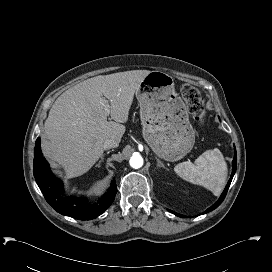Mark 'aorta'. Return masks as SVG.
<instances>
[{
	"label": "aorta",
	"instance_id": "762f6f07",
	"mask_svg": "<svg viewBox=\"0 0 272 272\" xmlns=\"http://www.w3.org/2000/svg\"><path fill=\"white\" fill-rule=\"evenodd\" d=\"M130 166L138 169L143 166V158L139 154H134L129 160Z\"/></svg>",
	"mask_w": 272,
	"mask_h": 272
}]
</instances>
